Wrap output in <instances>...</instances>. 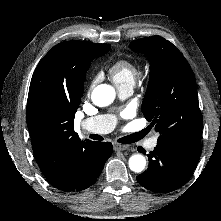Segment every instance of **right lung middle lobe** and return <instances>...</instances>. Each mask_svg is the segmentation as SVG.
I'll return each instance as SVG.
<instances>
[{
    "instance_id": "1",
    "label": "right lung middle lobe",
    "mask_w": 221,
    "mask_h": 221,
    "mask_svg": "<svg viewBox=\"0 0 221 221\" xmlns=\"http://www.w3.org/2000/svg\"><path fill=\"white\" fill-rule=\"evenodd\" d=\"M110 48L111 46L109 44H97L90 52L80 57L79 62L81 66L85 69V71H87L90 67L91 62L95 58L106 54L110 50Z\"/></svg>"
}]
</instances>
